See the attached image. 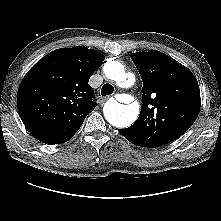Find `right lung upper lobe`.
I'll list each match as a JSON object with an SVG mask.
<instances>
[{"label": "right lung upper lobe", "instance_id": "cb5924a9", "mask_svg": "<svg viewBox=\"0 0 221 221\" xmlns=\"http://www.w3.org/2000/svg\"><path fill=\"white\" fill-rule=\"evenodd\" d=\"M104 56L85 47L57 49L23 78L17 106L28 131L45 144H61L79 130L96 103L89 78Z\"/></svg>", "mask_w": 221, "mask_h": 221}]
</instances>
